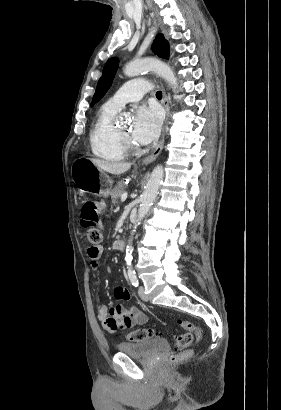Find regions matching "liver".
Here are the masks:
<instances>
[{"mask_svg": "<svg viewBox=\"0 0 281 410\" xmlns=\"http://www.w3.org/2000/svg\"><path fill=\"white\" fill-rule=\"evenodd\" d=\"M93 163L102 169L105 172H108L113 175H121L128 171L131 167V163H122V162H110L100 159H91Z\"/></svg>", "mask_w": 281, "mask_h": 410, "instance_id": "6515ba94", "label": "liver"}]
</instances>
